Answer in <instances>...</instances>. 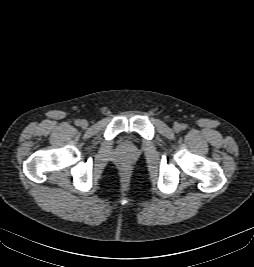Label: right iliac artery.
<instances>
[{
	"label": "right iliac artery",
	"mask_w": 254,
	"mask_h": 267,
	"mask_svg": "<svg viewBox=\"0 0 254 267\" xmlns=\"http://www.w3.org/2000/svg\"><path fill=\"white\" fill-rule=\"evenodd\" d=\"M75 124H76L77 126L81 125V120H79V119L76 120V121H75Z\"/></svg>",
	"instance_id": "right-iliac-artery-1"
}]
</instances>
